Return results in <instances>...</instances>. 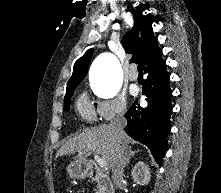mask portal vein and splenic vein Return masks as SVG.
<instances>
[{
    "mask_svg": "<svg viewBox=\"0 0 221 193\" xmlns=\"http://www.w3.org/2000/svg\"><path fill=\"white\" fill-rule=\"evenodd\" d=\"M94 158L101 168H105L107 166L106 161L104 159L100 158V156H98V154H95Z\"/></svg>",
    "mask_w": 221,
    "mask_h": 193,
    "instance_id": "18ae733b",
    "label": "portal vein and splenic vein"
}]
</instances>
